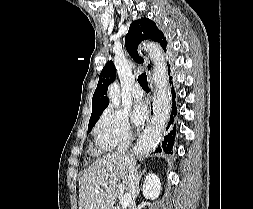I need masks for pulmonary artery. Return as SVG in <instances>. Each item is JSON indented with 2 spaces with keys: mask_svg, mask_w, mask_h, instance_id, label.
Masks as SVG:
<instances>
[{
  "mask_svg": "<svg viewBox=\"0 0 253 209\" xmlns=\"http://www.w3.org/2000/svg\"><path fill=\"white\" fill-rule=\"evenodd\" d=\"M132 95L133 97L136 99V100H142L145 96L143 90L141 89V87L136 84L134 87H133V90H132Z\"/></svg>",
  "mask_w": 253,
  "mask_h": 209,
  "instance_id": "e3ab8cb5",
  "label": "pulmonary artery"
}]
</instances>
